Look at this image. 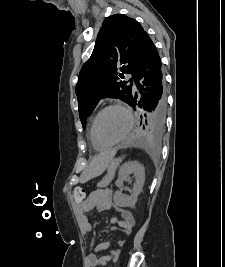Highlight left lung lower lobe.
Here are the masks:
<instances>
[{
  "mask_svg": "<svg viewBox=\"0 0 225 267\" xmlns=\"http://www.w3.org/2000/svg\"><path fill=\"white\" fill-rule=\"evenodd\" d=\"M138 94L133 91L130 106L142 109V116L152 115L157 122L165 121V81L158 51L146 35L135 67L134 75Z\"/></svg>",
  "mask_w": 225,
  "mask_h": 267,
  "instance_id": "obj_1",
  "label": "left lung lower lobe"
}]
</instances>
